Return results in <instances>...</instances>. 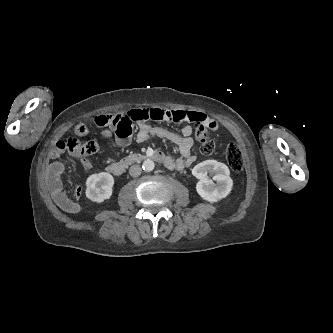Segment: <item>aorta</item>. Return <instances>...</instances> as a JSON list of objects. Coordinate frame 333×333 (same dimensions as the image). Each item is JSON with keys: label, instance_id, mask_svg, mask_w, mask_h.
I'll list each match as a JSON object with an SVG mask.
<instances>
[{"label": "aorta", "instance_id": "aorta-1", "mask_svg": "<svg viewBox=\"0 0 333 333\" xmlns=\"http://www.w3.org/2000/svg\"><path fill=\"white\" fill-rule=\"evenodd\" d=\"M142 168L144 171L146 172H150L155 168V163L150 160V159H146L143 163H142Z\"/></svg>", "mask_w": 333, "mask_h": 333}]
</instances>
